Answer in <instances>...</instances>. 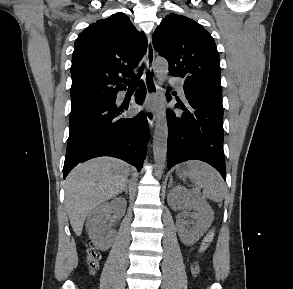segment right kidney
<instances>
[{"label": "right kidney", "instance_id": "ca27d5eb", "mask_svg": "<svg viewBox=\"0 0 293 289\" xmlns=\"http://www.w3.org/2000/svg\"><path fill=\"white\" fill-rule=\"evenodd\" d=\"M126 209V201L115 198L110 203H104L94 208L88 216L86 228L90 239L100 248H107L110 244L113 231L104 225V219L113 211L123 213Z\"/></svg>", "mask_w": 293, "mask_h": 289}]
</instances>
